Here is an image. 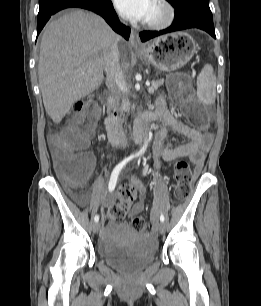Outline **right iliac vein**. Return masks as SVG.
Returning <instances> with one entry per match:
<instances>
[{"label":"right iliac vein","instance_id":"63e3f726","mask_svg":"<svg viewBox=\"0 0 261 306\" xmlns=\"http://www.w3.org/2000/svg\"><path fill=\"white\" fill-rule=\"evenodd\" d=\"M92 229H93V232H94V233H97V232L99 231V229H100V223L95 222V223L93 224V226H92Z\"/></svg>","mask_w":261,"mask_h":306}]
</instances>
